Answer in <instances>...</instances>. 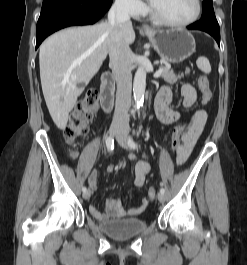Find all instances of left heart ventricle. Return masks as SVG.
<instances>
[{"label": "left heart ventricle", "instance_id": "obj_1", "mask_svg": "<svg viewBox=\"0 0 247 265\" xmlns=\"http://www.w3.org/2000/svg\"><path fill=\"white\" fill-rule=\"evenodd\" d=\"M149 3L165 18L183 22L196 11L195 0H149Z\"/></svg>", "mask_w": 247, "mask_h": 265}]
</instances>
